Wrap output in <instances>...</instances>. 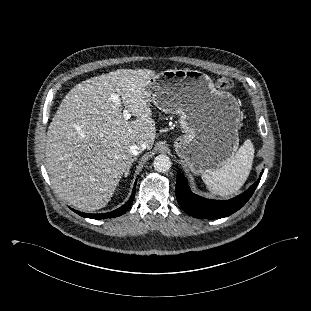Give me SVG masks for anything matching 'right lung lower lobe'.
<instances>
[{"label": "right lung lower lobe", "instance_id": "98d812e1", "mask_svg": "<svg viewBox=\"0 0 311 311\" xmlns=\"http://www.w3.org/2000/svg\"><path fill=\"white\" fill-rule=\"evenodd\" d=\"M135 196V188L133 190V193L130 197V199L127 201L126 204H124L123 206H121L120 208L112 211V212H108V213H103V214H87V213H83V212H79L76 210H73L74 212L78 213L80 216L85 217V218H92V219H107V218H113V217H117L120 216L122 214H124L131 206L133 199Z\"/></svg>", "mask_w": 311, "mask_h": 311}]
</instances>
